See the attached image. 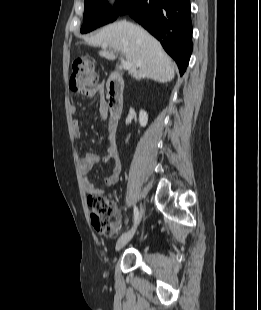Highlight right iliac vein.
<instances>
[{"label":"right iliac vein","mask_w":261,"mask_h":310,"mask_svg":"<svg viewBox=\"0 0 261 310\" xmlns=\"http://www.w3.org/2000/svg\"><path fill=\"white\" fill-rule=\"evenodd\" d=\"M142 214H143V206L141 205L140 217L138 218V221H137L136 224L139 223ZM135 230H136V227H135L133 230H131V231H129V232L123 234V235L118 239V241H117V243H116V251L121 250V249L131 240V238L133 237V235H134V233H135Z\"/></svg>","instance_id":"right-iliac-vein-1"}]
</instances>
